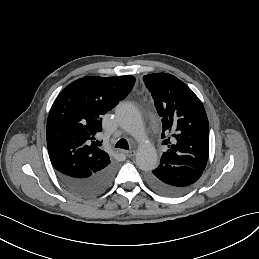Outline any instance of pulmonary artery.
<instances>
[{"instance_id": "1", "label": "pulmonary artery", "mask_w": 259, "mask_h": 259, "mask_svg": "<svg viewBox=\"0 0 259 259\" xmlns=\"http://www.w3.org/2000/svg\"><path fill=\"white\" fill-rule=\"evenodd\" d=\"M121 127L128 133L134 135L135 137L144 136V127L141 120L138 118H125L121 122Z\"/></svg>"}]
</instances>
